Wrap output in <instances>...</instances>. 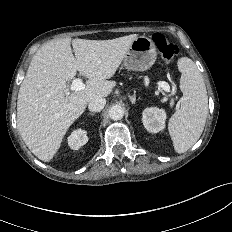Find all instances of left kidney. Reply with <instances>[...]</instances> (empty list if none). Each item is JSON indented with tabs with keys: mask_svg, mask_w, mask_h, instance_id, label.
Here are the masks:
<instances>
[{
	"mask_svg": "<svg viewBox=\"0 0 232 232\" xmlns=\"http://www.w3.org/2000/svg\"><path fill=\"white\" fill-rule=\"evenodd\" d=\"M166 112L157 107L146 108L142 113L144 127L151 133H158L165 128Z\"/></svg>",
	"mask_w": 232,
	"mask_h": 232,
	"instance_id": "1",
	"label": "left kidney"
}]
</instances>
